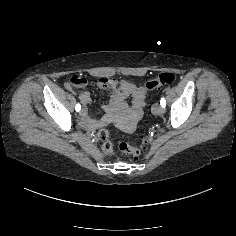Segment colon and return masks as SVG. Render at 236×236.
<instances>
[{
    "label": "colon",
    "mask_w": 236,
    "mask_h": 236,
    "mask_svg": "<svg viewBox=\"0 0 236 236\" xmlns=\"http://www.w3.org/2000/svg\"><path fill=\"white\" fill-rule=\"evenodd\" d=\"M175 80V74L172 72H162L158 74L154 79L149 80L145 87L147 90H158L160 87L169 85ZM102 83H106L107 79H100ZM70 83L75 87H83L87 84V79L81 75H73L70 78ZM100 140L102 141L103 151L111 155L113 150V143L109 139V132L106 129H101L98 133ZM148 137H142L141 143L138 146H132L129 143L121 142L118 148L121 152L132 156H139L146 149L148 144Z\"/></svg>",
    "instance_id": "5ec220e1"
}]
</instances>
